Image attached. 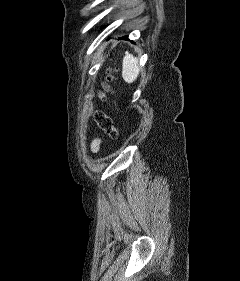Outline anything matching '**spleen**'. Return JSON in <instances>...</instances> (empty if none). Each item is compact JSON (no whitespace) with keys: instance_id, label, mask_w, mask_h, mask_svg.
Here are the masks:
<instances>
[{"instance_id":"spleen-1","label":"spleen","mask_w":240,"mask_h":281,"mask_svg":"<svg viewBox=\"0 0 240 281\" xmlns=\"http://www.w3.org/2000/svg\"><path fill=\"white\" fill-rule=\"evenodd\" d=\"M140 72L138 59L132 54H126L122 63V77L127 83H133Z\"/></svg>"}]
</instances>
